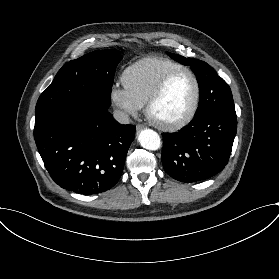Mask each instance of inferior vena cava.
<instances>
[{"instance_id": "602c4592", "label": "inferior vena cava", "mask_w": 279, "mask_h": 279, "mask_svg": "<svg viewBox=\"0 0 279 279\" xmlns=\"http://www.w3.org/2000/svg\"><path fill=\"white\" fill-rule=\"evenodd\" d=\"M113 116L120 124H129L130 123L129 115H127L126 113H124L121 110H114Z\"/></svg>"}]
</instances>
